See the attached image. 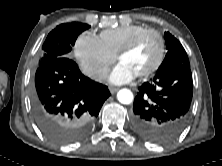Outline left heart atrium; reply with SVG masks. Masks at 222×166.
Listing matches in <instances>:
<instances>
[{"instance_id": "left-heart-atrium-1", "label": "left heart atrium", "mask_w": 222, "mask_h": 166, "mask_svg": "<svg viewBox=\"0 0 222 166\" xmlns=\"http://www.w3.org/2000/svg\"><path fill=\"white\" fill-rule=\"evenodd\" d=\"M135 76V72L126 64L120 62L111 70L108 79L113 84H123L131 81Z\"/></svg>"}]
</instances>
